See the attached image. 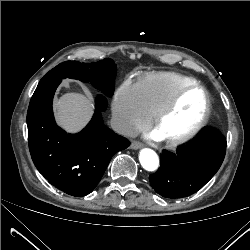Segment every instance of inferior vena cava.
I'll use <instances>...</instances> for the list:
<instances>
[{"instance_id":"1","label":"inferior vena cava","mask_w":250,"mask_h":250,"mask_svg":"<svg viewBox=\"0 0 250 250\" xmlns=\"http://www.w3.org/2000/svg\"><path fill=\"white\" fill-rule=\"evenodd\" d=\"M110 124H111L112 129L118 134L128 136V137L135 136V132L133 128L131 127V125L127 121L121 118L112 117Z\"/></svg>"}]
</instances>
